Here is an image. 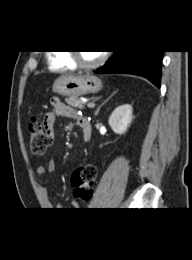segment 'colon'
<instances>
[{"mask_svg": "<svg viewBox=\"0 0 192 260\" xmlns=\"http://www.w3.org/2000/svg\"><path fill=\"white\" fill-rule=\"evenodd\" d=\"M30 136V150L34 156H42L51 145L52 138L43 123L37 118H32L28 126ZM97 169L92 164L78 167L72 174L71 182L74 195L82 200L91 197L96 181Z\"/></svg>", "mask_w": 192, "mask_h": 260, "instance_id": "obj_1", "label": "colon"}]
</instances>
